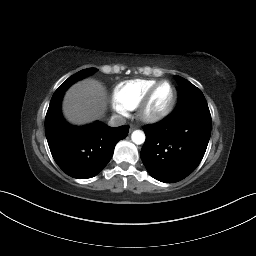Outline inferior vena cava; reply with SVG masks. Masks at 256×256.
<instances>
[{
  "mask_svg": "<svg viewBox=\"0 0 256 256\" xmlns=\"http://www.w3.org/2000/svg\"><path fill=\"white\" fill-rule=\"evenodd\" d=\"M126 123V119L120 115H113L109 120L108 124L111 127H118L124 125Z\"/></svg>",
  "mask_w": 256,
  "mask_h": 256,
  "instance_id": "602c4592",
  "label": "inferior vena cava"
}]
</instances>
